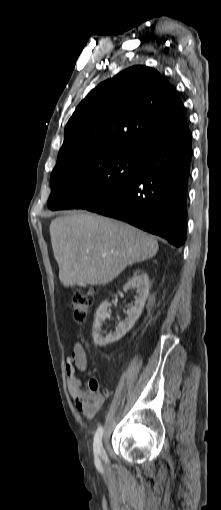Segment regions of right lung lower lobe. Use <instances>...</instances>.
Returning <instances> with one entry per match:
<instances>
[{"label":"right lung lower lobe","instance_id":"1","mask_svg":"<svg viewBox=\"0 0 221 510\" xmlns=\"http://www.w3.org/2000/svg\"><path fill=\"white\" fill-rule=\"evenodd\" d=\"M192 134L150 145L135 176L107 198L86 206L92 212L130 223L176 247L186 237V196Z\"/></svg>","mask_w":221,"mask_h":510}]
</instances>
